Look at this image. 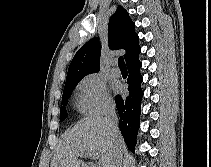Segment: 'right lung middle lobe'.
<instances>
[{
  "label": "right lung middle lobe",
  "instance_id": "dd1d6c3e",
  "mask_svg": "<svg viewBox=\"0 0 211 167\" xmlns=\"http://www.w3.org/2000/svg\"><path fill=\"white\" fill-rule=\"evenodd\" d=\"M81 79L69 81L65 83L64 91H63V97H62V104L63 106L60 107V120L63 121L67 117V111H66V105L68 103V99L70 95L72 94V91L74 90L75 86Z\"/></svg>",
  "mask_w": 211,
  "mask_h": 167
}]
</instances>
